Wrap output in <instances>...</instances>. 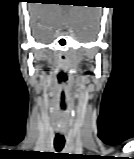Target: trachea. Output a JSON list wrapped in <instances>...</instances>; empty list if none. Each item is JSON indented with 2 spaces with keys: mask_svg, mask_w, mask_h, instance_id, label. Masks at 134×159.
Returning <instances> with one entry per match:
<instances>
[{
  "mask_svg": "<svg viewBox=\"0 0 134 159\" xmlns=\"http://www.w3.org/2000/svg\"><path fill=\"white\" fill-rule=\"evenodd\" d=\"M65 145V138L61 134H56L54 139V147L57 151H61Z\"/></svg>",
  "mask_w": 134,
  "mask_h": 159,
  "instance_id": "obj_1",
  "label": "trachea"
}]
</instances>
